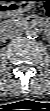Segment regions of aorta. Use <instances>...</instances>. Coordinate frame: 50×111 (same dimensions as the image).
<instances>
[{
    "label": "aorta",
    "instance_id": "obj_1",
    "mask_svg": "<svg viewBox=\"0 0 50 111\" xmlns=\"http://www.w3.org/2000/svg\"><path fill=\"white\" fill-rule=\"evenodd\" d=\"M25 34L28 38H37L39 35V30L36 27H29L26 29Z\"/></svg>",
    "mask_w": 50,
    "mask_h": 111
}]
</instances>
